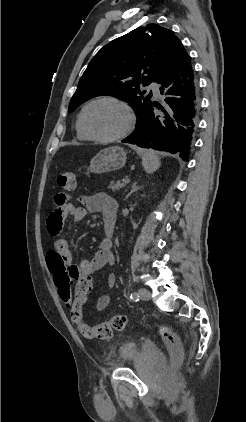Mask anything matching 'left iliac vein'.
Wrapping results in <instances>:
<instances>
[{"label": "left iliac vein", "instance_id": "4c4485c4", "mask_svg": "<svg viewBox=\"0 0 246 422\" xmlns=\"http://www.w3.org/2000/svg\"><path fill=\"white\" fill-rule=\"evenodd\" d=\"M138 295H139L140 299L145 300V301L149 300L150 297H151L150 292L145 288L139 289Z\"/></svg>", "mask_w": 246, "mask_h": 422}]
</instances>
